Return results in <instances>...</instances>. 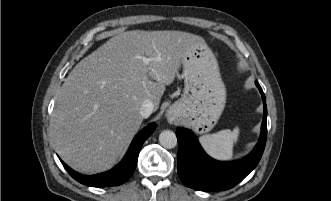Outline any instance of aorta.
<instances>
[{"instance_id":"762f6f07","label":"aorta","mask_w":331,"mask_h":201,"mask_svg":"<svg viewBox=\"0 0 331 201\" xmlns=\"http://www.w3.org/2000/svg\"><path fill=\"white\" fill-rule=\"evenodd\" d=\"M159 143L167 149H172L177 145V137L173 131L164 130L159 135Z\"/></svg>"}]
</instances>
